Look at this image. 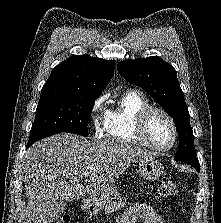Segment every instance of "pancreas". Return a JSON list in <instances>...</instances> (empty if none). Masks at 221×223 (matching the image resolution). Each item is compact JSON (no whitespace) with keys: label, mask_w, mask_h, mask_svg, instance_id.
Returning <instances> with one entry per match:
<instances>
[{"label":"pancreas","mask_w":221,"mask_h":223,"mask_svg":"<svg viewBox=\"0 0 221 223\" xmlns=\"http://www.w3.org/2000/svg\"><path fill=\"white\" fill-rule=\"evenodd\" d=\"M126 204H127L126 198L120 196L119 193H116L114 198H112L107 202L105 206V212L109 214L114 211L120 210L121 208H124Z\"/></svg>","instance_id":"cf45deb5"}]
</instances>
